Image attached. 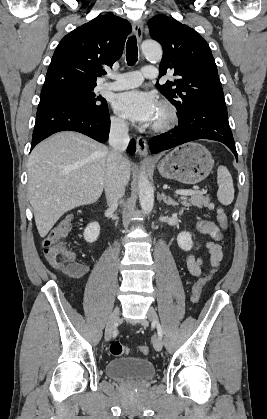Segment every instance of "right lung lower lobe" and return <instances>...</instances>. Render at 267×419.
<instances>
[{
    "mask_svg": "<svg viewBox=\"0 0 267 419\" xmlns=\"http://www.w3.org/2000/svg\"><path fill=\"white\" fill-rule=\"evenodd\" d=\"M65 130L83 133L101 143L106 142L110 131L108 108L100 113H92L73 102L48 94L41 95L31 149L48 136ZM135 150V141L131 140L128 152L133 155Z\"/></svg>",
    "mask_w": 267,
    "mask_h": 419,
    "instance_id": "obj_1",
    "label": "right lung lower lobe"
}]
</instances>
